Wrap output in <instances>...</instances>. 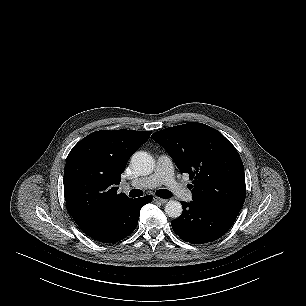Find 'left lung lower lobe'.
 I'll return each instance as SVG.
<instances>
[{"mask_svg": "<svg viewBox=\"0 0 306 306\" xmlns=\"http://www.w3.org/2000/svg\"><path fill=\"white\" fill-rule=\"evenodd\" d=\"M182 215L171 222L174 232L184 241L203 244L223 236L232 226L238 210L204 205L192 201L181 202Z\"/></svg>", "mask_w": 306, "mask_h": 306, "instance_id": "0a47b994", "label": "left lung lower lobe"}]
</instances>
